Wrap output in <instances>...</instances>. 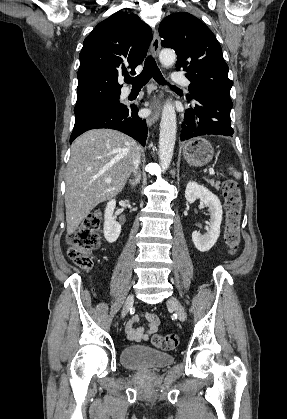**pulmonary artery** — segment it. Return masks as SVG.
<instances>
[{
	"mask_svg": "<svg viewBox=\"0 0 287 419\" xmlns=\"http://www.w3.org/2000/svg\"><path fill=\"white\" fill-rule=\"evenodd\" d=\"M171 79H172L173 83L183 85V86H186V87H188L189 84H190L189 80L182 73H179V72H174L171 76ZM129 94H130L129 90L124 91L125 96H128Z\"/></svg>",
	"mask_w": 287,
	"mask_h": 419,
	"instance_id": "obj_1",
	"label": "pulmonary artery"
}]
</instances>
